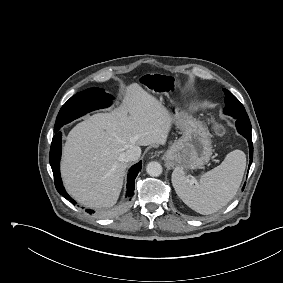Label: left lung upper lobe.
<instances>
[{"mask_svg":"<svg viewBox=\"0 0 283 283\" xmlns=\"http://www.w3.org/2000/svg\"><path fill=\"white\" fill-rule=\"evenodd\" d=\"M225 93V103L224 113L230 115L234 118L244 116L248 118V115L241 104V102L228 90L223 89Z\"/></svg>","mask_w":283,"mask_h":283,"instance_id":"1","label":"left lung upper lobe"}]
</instances>
